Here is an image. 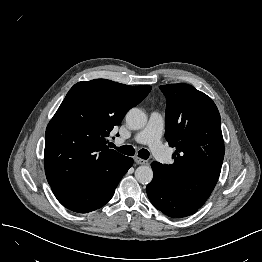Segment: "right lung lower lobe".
I'll return each mask as SVG.
<instances>
[{
    "label": "right lung lower lobe",
    "mask_w": 262,
    "mask_h": 262,
    "mask_svg": "<svg viewBox=\"0 0 262 262\" xmlns=\"http://www.w3.org/2000/svg\"><path fill=\"white\" fill-rule=\"evenodd\" d=\"M132 164V158L124 157L120 162V166L118 167L111 184L103 189L73 191L53 190V193L57 200L71 211L79 213L94 211L104 206L112 198L118 183Z\"/></svg>",
    "instance_id": "obj_1"
}]
</instances>
